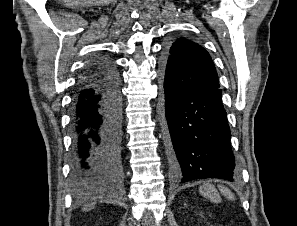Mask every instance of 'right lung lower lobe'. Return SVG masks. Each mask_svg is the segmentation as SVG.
Listing matches in <instances>:
<instances>
[{"mask_svg": "<svg viewBox=\"0 0 297 226\" xmlns=\"http://www.w3.org/2000/svg\"><path fill=\"white\" fill-rule=\"evenodd\" d=\"M90 69L94 77L88 84L78 85L73 100L72 173L78 192H91L122 179L119 75L107 60Z\"/></svg>", "mask_w": 297, "mask_h": 226, "instance_id": "98d812e1", "label": "right lung lower lobe"}]
</instances>
